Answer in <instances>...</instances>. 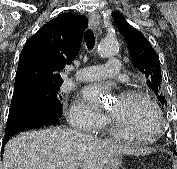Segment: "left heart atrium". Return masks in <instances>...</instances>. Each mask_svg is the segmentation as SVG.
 I'll use <instances>...</instances> for the list:
<instances>
[{
    "mask_svg": "<svg viewBox=\"0 0 177 169\" xmlns=\"http://www.w3.org/2000/svg\"><path fill=\"white\" fill-rule=\"evenodd\" d=\"M108 85H90L83 89L82 98L92 106L98 107L101 104V98L104 94L110 92Z\"/></svg>",
    "mask_w": 177,
    "mask_h": 169,
    "instance_id": "1",
    "label": "left heart atrium"
}]
</instances>
